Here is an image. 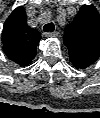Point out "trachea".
<instances>
[{"label": "trachea", "mask_w": 100, "mask_h": 118, "mask_svg": "<svg viewBox=\"0 0 100 118\" xmlns=\"http://www.w3.org/2000/svg\"><path fill=\"white\" fill-rule=\"evenodd\" d=\"M54 29H55V27H54L53 23H48V24L44 25V27H43L44 32H53Z\"/></svg>", "instance_id": "3493384b"}]
</instances>
